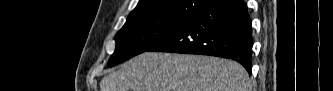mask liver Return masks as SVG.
Here are the masks:
<instances>
[{"instance_id":"6515ba94","label":"liver","mask_w":333,"mask_h":91,"mask_svg":"<svg viewBox=\"0 0 333 91\" xmlns=\"http://www.w3.org/2000/svg\"><path fill=\"white\" fill-rule=\"evenodd\" d=\"M101 91H250L245 68L208 56L142 53L105 76Z\"/></svg>"}]
</instances>
